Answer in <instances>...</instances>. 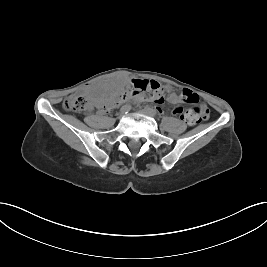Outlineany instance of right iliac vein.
I'll list each match as a JSON object with an SVG mask.
<instances>
[{
    "mask_svg": "<svg viewBox=\"0 0 267 267\" xmlns=\"http://www.w3.org/2000/svg\"><path fill=\"white\" fill-rule=\"evenodd\" d=\"M124 117V113H120V115L118 116V118H122Z\"/></svg>",
    "mask_w": 267,
    "mask_h": 267,
    "instance_id": "right-iliac-vein-1",
    "label": "right iliac vein"
}]
</instances>
